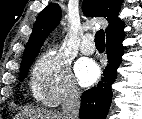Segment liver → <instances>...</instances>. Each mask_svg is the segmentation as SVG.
I'll return each mask as SVG.
<instances>
[{
  "label": "liver",
  "instance_id": "liver-1",
  "mask_svg": "<svg viewBox=\"0 0 142 119\" xmlns=\"http://www.w3.org/2000/svg\"><path fill=\"white\" fill-rule=\"evenodd\" d=\"M21 119H64L62 114L49 110L29 109L24 110L20 115Z\"/></svg>",
  "mask_w": 142,
  "mask_h": 119
}]
</instances>
